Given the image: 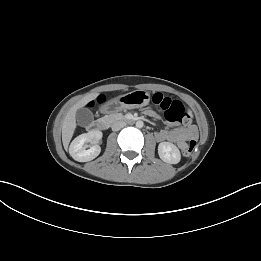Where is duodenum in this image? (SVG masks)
I'll return each mask as SVG.
<instances>
[{
	"label": "duodenum",
	"mask_w": 261,
	"mask_h": 261,
	"mask_svg": "<svg viewBox=\"0 0 261 261\" xmlns=\"http://www.w3.org/2000/svg\"><path fill=\"white\" fill-rule=\"evenodd\" d=\"M125 120L128 123H134V122L137 121V119L134 118V117H127ZM108 126H109L108 120H106V119H99V120L94 122L92 128L94 130H105V129L108 128Z\"/></svg>",
	"instance_id": "410a0bca"
}]
</instances>
